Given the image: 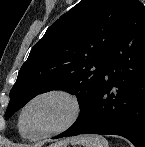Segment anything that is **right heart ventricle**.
Returning <instances> with one entry per match:
<instances>
[{
    "instance_id": "e07e8e85",
    "label": "right heart ventricle",
    "mask_w": 145,
    "mask_h": 147,
    "mask_svg": "<svg viewBox=\"0 0 145 147\" xmlns=\"http://www.w3.org/2000/svg\"><path fill=\"white\" fill-rule=\"evenodd\" d=\"M23 137H25L23 134H21ZM25 138H27V137H25Z\"/></svg>"
}]
</instances>
